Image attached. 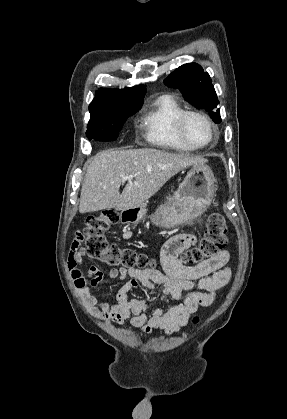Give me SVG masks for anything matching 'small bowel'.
<instances>
[{"label":"small bowel","instance_id":"small-bowel-1","mask_svg":"<svg viewBox=\"0 0 287 419\" xmlns=\"http://www.w3.org/2000/svg\"><path fill=\"white\" fill-rule=\"evenodd\" d=\"M196 236L191 233H179L169 238L161 251L165 274L156 269H111L112 279L125 280L119 289L115 304L99 302L91 293L103 280V272L96 266L86 270L79 268L83 263L85 251L75 236L68 254L67 264L74 283L83 297L90 313L100 320H111L121 325L127 319L135 328L145 333L163 330L167 334L177 332L184 327L199 306H207L214 301L217 291L225 286L231 276L226 264L230 254L223 250L217 256L196 266H185L178 259L179 254L196 243ZM142 285L149 291L155 285H163L162 299L180 301L167 310L155 308L151 314L150 303L145 299H129L128 293Z\"/></svg>","mask_w":287,"mask_h":419}]
</instances>
